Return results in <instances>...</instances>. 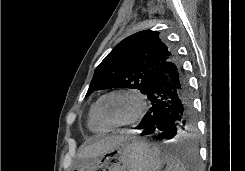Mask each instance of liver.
Wrapping results in <instances>:
<instances>
[{"mask_svg":"<svg viewBox=\"0 0 245 171\" xmlns=\"http://www.w3.org/2000/svg\"><path fill=\"white\" fill-rule=\"evenodd\" d=\"M128 136H129L128 134H122V135L109 136L96 140L93 143L82 148L79 151L77 158L78 159L96 158L99 155L109 150H112Z\"/></svg>","mask_w":245,"mask_h":171,"instance_id":"1","label":"liver"}]
</instances>
